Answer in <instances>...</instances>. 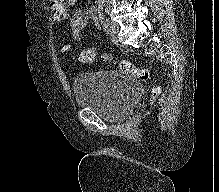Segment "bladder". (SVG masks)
<instances>
[{
	"label": "bladder",
	"mask_w": 219,
	"mask_h": 192,
	"mask_svg": "<svg viewBox=\"0 0 219 192\" xmlns=\"http://www.w3.org/2000/svg\"><path fill=\"white\" fill-rule=\"evenodd\" d=\"M73 93L79 107L94 110L106 121L119 122L135 109L141 88L128 74L104 69L77 75Z\"/></svg>",
	"instance_id": "bladder-1"
}]
</instances>
